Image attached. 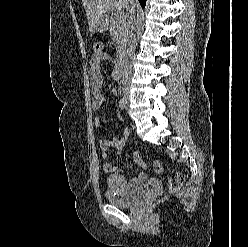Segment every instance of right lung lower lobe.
Segmentation results:
<instances>
[{
	"instance_id": "obj_1",
	"label": "right lung lower lobe",
	"mask_w": 248,
	"mask_h": 247,
	"mask_svg": "<svg viewBox=\"0 0 248 247\" xmlns=\"http://www.w3.org/2000/svg\"><path fill=\"white\" fill-rule=\"evenodd\" d=\"M140 4L142 7H144L146 5V0H139Z\"/></svg>"
}]
</instances>
